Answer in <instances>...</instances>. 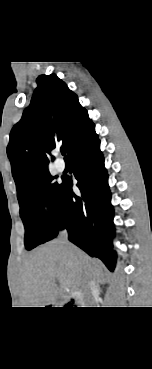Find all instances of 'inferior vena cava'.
Masks as SVG:
<instances>
[{"mask_svg":"<svg viewBox=\"0 0 152 369\" xmlns=\"http://www.w3.org/2000/svg\"><path fill=\"white\" fill-rule=\"evenodd\" d=\"M67 238H68V234L67 231H63L60 239L66 243L67 245H69V243L67 242ZM82 294L84 296V300L87 302H90L93 300V296L98 294V285L96 283V281L94 279H91L89 281L86 282V284L83 287L82 290Z\"/></svg>","mask_w":152,"mask_h":369,"instance_id":"602c4592","label":"inferior vena cava"}]
</instances>
